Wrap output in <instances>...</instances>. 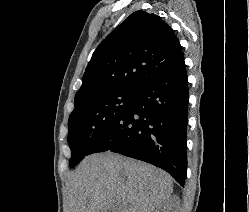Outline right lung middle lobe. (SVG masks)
I'll return each mask as SVG.
<instances>
[{"instance_id":"obj_1","label":"right lung middle lobe","mask_w":249,"mask_h":212,"mask_svg":"<svg viewBox=\"0 0 249 212\" xmlns=\"http://www.w3.org/2000/svg\"><path fill=\"white\" fill-rule=\"evenodd\" d=\"M133 91L111 92L75 107L68 121L70 167H74L132 103Z\"/></svg>"}]
</instances>
